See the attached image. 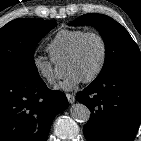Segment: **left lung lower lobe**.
<instances>
[{
  "label": "left lung lower lobe",
  "mask_w": 141,
  "mask_h": 141,
  "mask_svg": "<svg viewBox=\"0 0 141 141\" xmlns=\"http://www.w3.org/2000/svg\"><path fill=\"white\" fill-rule=\"evenodd\" d=\"M76 99L91 111L87 141H133L141 123V72H121L94 81Z\"/></svg>",
  "instance_id": "left-lung-lower-lobe-1"
}]
</instances>
